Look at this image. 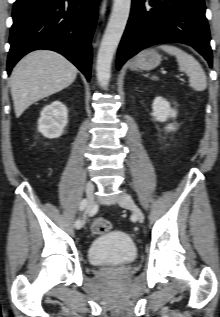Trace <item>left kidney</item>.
I'll return each instance as SVG.
<instances>
[{
    "label": "left kidney",
    "instance_id": "left-kidney-1",
    "mask_svg": "<svg viewBox=\"0 0 220 317\" xmlns=\"http://www.w3.org/2000/svg\"><path fill=\"white\" fill-rule=\"evenodd\" d=\"M152 109V115L159 122H165L169 117L176 116V112L171 109L169 102L162 97H156L154 99ZM168 129L173 130L174 127L168 126Z\"/></svg>",
    "mask_w": 220,
    "mask_h": 317
}]
</instances>
